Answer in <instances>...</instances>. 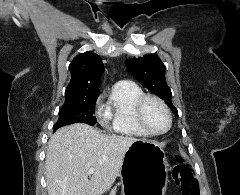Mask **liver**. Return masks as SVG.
Listing matches in <instances>:
<instances>
[{
	"mask_svg": "<svg viewBox=\"0 0 240 195\" xmlns=\"http://www.w3.org/2000/svg\"><path fill=\"white\" fill-rule=\"evenodd\" d=\"M133 141L137 137L109 135L87 123L59 127L45 159L48 195H102L119 175ZM89 167H95L90 179Z\"/></svg>",
	"mask_w": 240,
	"mask_h": 195,
	"instance_id": "1",
	"label": "liver"
}]
</instances>
